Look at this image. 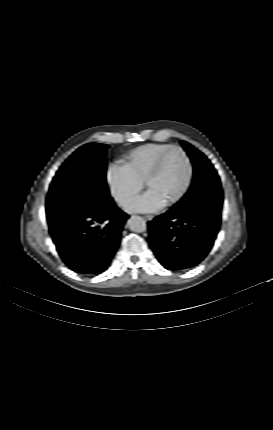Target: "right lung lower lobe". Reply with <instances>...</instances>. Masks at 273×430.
I'll return each mask as SVG.
<instances>
[{
	"label": "right lung lower lobe",
	"mask_w": 273,
	"mask_h": 430,
	"mask_svg": "<svg viewBox=\"0 0 273 430\" xmlns=\"http://www.w3.org/2000/svg\"><path fill=\"white\" fill-rule=\"evenodd\" d=\"M129 216L107 204L89 203L49 217V232L64 263L83 275L104 272L120 244Z\"/></svg>",
	"instance_id": "right-lung-lower-lobe-1"
}]
</instances>
